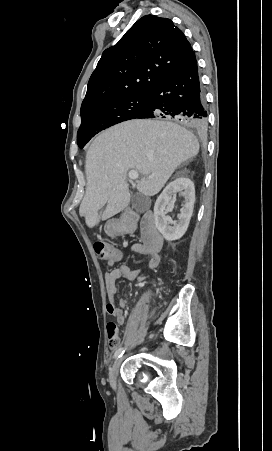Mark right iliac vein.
<instances>
[{"label":"right iliac vein","mask_w":272,"mask_h":451,"mask_svg":"<svg viewBox=\"0 0 272 451\" xmlns=\"http://www.w3.org/2000/svg\"><path fill=\"white\" fill-rule=\"evenodd\" d=\"M122 363V358L121 359H117V361L114 363V365L112 366V368L109 371V382L111 385H115L116 384V378L118 375V371L119 368L121 366Z\"/></svg>","instance_id":"obj_1"}]
</instances>
